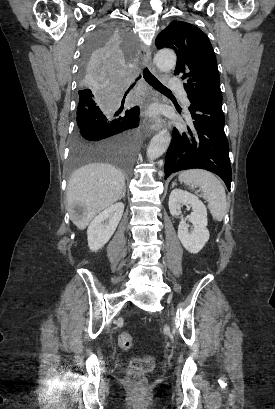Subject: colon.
<instances>
[{
    "label": "colon",
    "instance_id": "colon-1",
    "mask_svg": "<svg viewBox=\"0 0 275 409\" xmlns=\"http://www.w3.org/2000/svg\"><path fill=\"white\" fill-rule=\"evenodd\" d=\"M122 349H130L134 340L129 332H123L117 340ZM155 366L154 358L151 355H142L134 358L128 365L127 376L130 382L142 383L145 377L153 370Z\"/></svg>",
    "mask_w": 275,
    "mask_h": 409
}]
</instances>
